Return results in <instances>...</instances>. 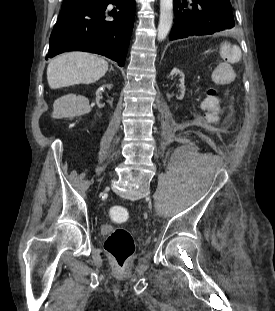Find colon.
I'll return each instance as SVG.
<instances>
[{
	"mask_svg": "<svg viewBox=\"0 0 275 311\" xmlns=\"http://www.w3.org/2000/svg\"><path fill=\"white\" fill-rule=\"evenodd\" d=\"M55 115L57 117L63 116L60 111H57ZM109 214L117 221H125L129 218L127 210L122 207H112ZM104 248L114 259L116 266L123 268L135 251L134 238L127 229L116 227L106 237Z\"/></svg>",
	"mask_w": 275,
	"mask_h": 311,
	"instance_id": "colon-1",
	"label": "colon"
}]
</instances>
